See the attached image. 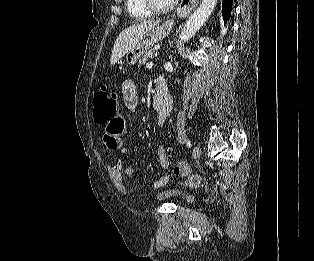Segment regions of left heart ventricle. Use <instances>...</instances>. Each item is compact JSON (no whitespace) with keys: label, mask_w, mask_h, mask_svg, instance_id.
Segmentation results:
<instances>
[{"label":"left heart ventricle","mask_w":314,"mask_h":261,"mask_svg":"<svg viewBox=\"0 0 314 261\" xmlns=\"http://www.w3.org/2000/svg\"><path fill=\"white\" fill-rule=\"evenodd\" d=\"M155 3L158 5V6H166L168 5L172 0H154Z\"/></svg>","instance_id":"b2bd125f"}]
</instances>
